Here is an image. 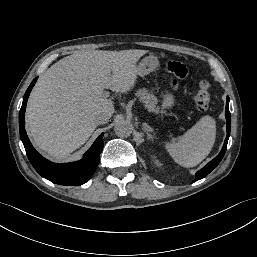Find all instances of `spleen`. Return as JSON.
I'll use <instances>...</instances> for the list:
<instances>
[{
    "instance_id": "3e777b00",
    "label": "spleen",
    "mask_w": 257,
    "mask_h": 257,
    "mask_svg": "<svg viewBox=\"0 0 257 257\" xmlns=\"http://www.w3.org/2000/svg\"><path fill=\"white\" fill-rule=\"evenodd\" d=\"M215 139V120L210 116H203L177 142L167 143L165 147L175 162L190 168L200 164L209 155Z\"/></svg>"
}]
</instances>
